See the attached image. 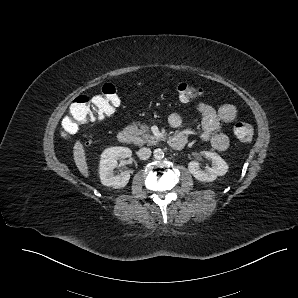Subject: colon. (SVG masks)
Instances as JSON below:
<instances>
[{
	"label": "colon",
	"mask_w": 298,
	"mask_h": 298,
	"mask_svg": "<svg viewBox=\"0 0 298 298\" xmlns=\"http://www.w3.org/2000/svg\"><path fill=\"white\" fill-rule=\"evenodd\" d=\"M177 94L181 101L189 102L203 96L202 88L188 83L177 86ZM120 100L116 87L105 84L100 92L94 96L80 95L70 105L69 111L62 121L63 132L74 134L85 124L104 119L113 114ZM253 127L245 121H238L234 126L235 136L242 142H249L253 137Z\"/></svg>",
	"instance_id": "colon-1"
}]
</instances>
